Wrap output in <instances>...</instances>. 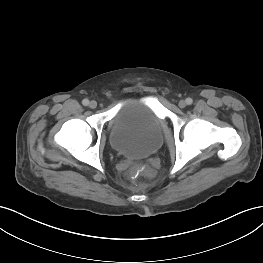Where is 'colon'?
<instances>
[{
  "label": "colon",
  "mask_w": 263,
  "mask_h": 263,
  "mask_svg": "<svg viewBox=\"0 0 263 263\" xmlns=\"http://www.w3.org/2000/svg\"><path fill=\"white\" fill-rule=\"evenodd\" d=\"M134 173L136 175H142V176H151L152 175V171L144 168L143 166H137L136 169L134 170Z\"/></svg>",
  "instance_id": "1"
}]
</instances>
